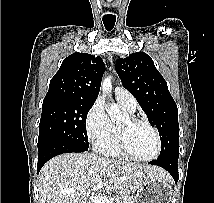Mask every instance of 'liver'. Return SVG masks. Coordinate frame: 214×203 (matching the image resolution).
I'll use <instances>...</instances> for the list:
<instances>
[{
	"label": "liver",
	"mask_w": 214,
	"mask_h": 203,
	"mask_svg": "<svg viewBox=\"0 0 214 203\" xmlns=\"http://www.w3.org/2000/svg\"><path fill=\"white\" fill-rule=\"evenodd\" d=\"M167 177L155 166L107 159L94 153H67L48 161L39 173L40 203H87L90 188L103 183L107 194L128 195L153 176ZM73 189L72 194L62 190Z\"/></svg>",
	"instance_id": "liver-1"
}]
</instances>
